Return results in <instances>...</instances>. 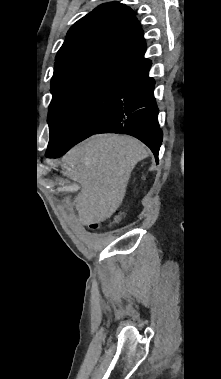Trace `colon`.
Returning <instances> with one entry per match:
<instances>
[{"label": "colon", "instance_id": "colon-1", "mask_svg": "<svg viewBox=\"0 0 221 379\" xmlns=\"http://www.w3.org/2000/svg\"><path fill=\"white\" fill-rule=\"evenodd\" d=\"M121 220V215H116L115 217H114V222H118V221H120ZM99 227V224L98 223H93L92 225H91V228H93V229H96V228H98Z\"/></svg>", "mask_w": 221, "mask_h": 379}]
</instances>
